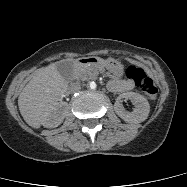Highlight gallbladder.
<instances>
[{"mask_svg": "<svg viewBox=\"0 0 187 187\" xmlns=\"http://www.w3.org/2000/svg\"><path fill=\"white\" fill-rule=\"evenodd\" d=\"M57 70L64 78H69L72 69L73 64L70 61H60L56 64Z\"/></svg>", "mask_w": 187, "mask_h": 187, "instance_id": "obj_1", "label": "gallbladder"}]
</instances>
